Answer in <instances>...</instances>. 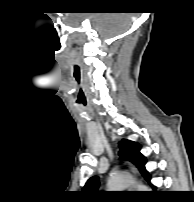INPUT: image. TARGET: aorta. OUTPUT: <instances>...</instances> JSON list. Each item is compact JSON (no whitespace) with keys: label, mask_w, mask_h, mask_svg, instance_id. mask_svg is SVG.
<instances>
[{"label":"aorta","mask_w":194,"mask_h":202,"mask_svg":"<svg viewBox=\"0 0 194 202\" xmlns=\"http://www.w3.org/2000/svg\"><path fill=\"white\" fill-rule=\"evenodd\" d=\"M131 184H133V180L130 176L118 174L110 177L108 188L110 191H123V189H126ZM137 188L139 191H148L145 185H138Z\"/></svg>","instance_id":"1"}]
</instances>
